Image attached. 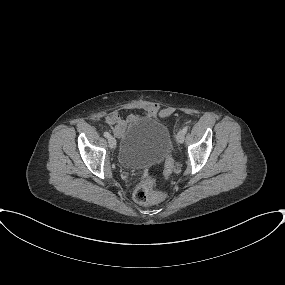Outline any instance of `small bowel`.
I'll return each instance as SVG.
<instances>
[{"instance_id": "c3829d8e", "label": "small bowel", "mask_w": 285, "mask_h": 285, "mask_svg": "<svg viewBox=\"0 0 285 285\" xmlns=\"http://www.w3.org/2000/svg\"><path fill=\"white\" fill-rule=\"evenodd\" d=\"M128 108L141 110L151 118H157L159 110L155 103L148 101L132 104ZM139 118L140 116L138 114H130L126 117H122L118 111H112L106 115L105 122L113 127V132L116 136H121L124 134L127 126Z\"/></svg>"}]
</instances>
